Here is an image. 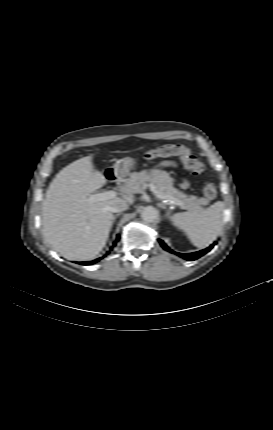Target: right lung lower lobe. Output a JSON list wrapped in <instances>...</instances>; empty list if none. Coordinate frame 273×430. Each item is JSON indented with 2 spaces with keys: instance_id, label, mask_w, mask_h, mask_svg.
Segmentation results:
<instances>
[{
  "instance_id": "1",
  "label": "right lung lower lobe",
  "mask_w": 273,
  "mask_h": 430,
  "mask_svg": "<svg viewBox=\"0 0 273 430\" xmlns=\"http://www.w3.org/2000/svg\"><path fill=\"white\" fill-rule=\"evenodd\" d=\"M120 239V237H119V235L117 236V240L116 241H118ZM116 244V242L114 243V245ZM107 254H109V252L107 253ZM100 259H102V258H98V259H95V260H93V261H91V262H79V264H82V265H92V264H94V263H96V262H98Z\"/></svg>"
}]
</instances>
